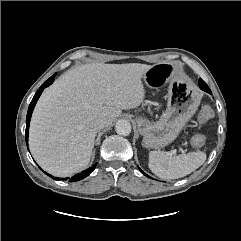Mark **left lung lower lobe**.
<instances>
[{
  "label": "left lung lower lobe",
  "mask_w": 241,
  "mask_h": 241,
  "mask_svg": "<svg viewBox=\"0 0 241 241\" xmlns=\"http://www.w3.org/2000/svg\"><path fill=\"white\" fill-rule=\"evenodd\" d=\"M199 86H200V88H201L202 90H204V91L212 94V93H211V90L209 89V87L207 86V84H206L202 79H199ZM140 171H141L145 176L149 177V176L146 175L141 169H140Z\"/></svg>",
  "instance_id": "1"
}]
</instances>
